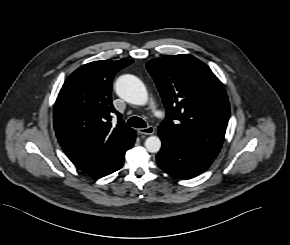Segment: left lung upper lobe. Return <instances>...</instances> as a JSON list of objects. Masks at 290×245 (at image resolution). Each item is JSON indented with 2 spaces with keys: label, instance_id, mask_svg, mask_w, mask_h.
I'll list each match as a JSON object with an SVG mask.
<instances>
[{
  "label": "left lung upper lobe",
  "instance_id": "1",
  "mask_svg": "<svg viewBox=\"0 0 290 245\" xmlns=\"http://www.w3.org/2000/svg\"><path fill=\"white\" fill-rule=\"evenodd\" d=\"M147 69L167 112L158 130L178 142L217 155L230 114L220 80L206 64L188 54L150 60Z\"/></svg>",
  "mask_w": 290,
  "mask_h": 245
}]
</instances>
